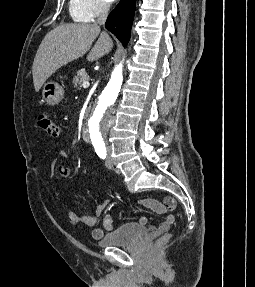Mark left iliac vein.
<instances>
[{"instance_id": "1", "label": "left iliac vein", "mask_w": 255, "mask_h": 287, "mask_svg": "<svg viewBox=\"0 0 255 287\" xmlns=\"http://www.w3.org/2000/svg\"><path fill=\"white\" fill-rule=\"evenodd\" d=\"M107 152H108V158H107V161H106V167L108 169H111L113 167V163H112V159L110 157V154H111V148L110 147H108Z\"/></svg>"}]
</instances>
